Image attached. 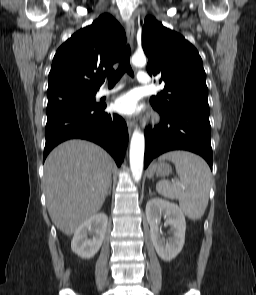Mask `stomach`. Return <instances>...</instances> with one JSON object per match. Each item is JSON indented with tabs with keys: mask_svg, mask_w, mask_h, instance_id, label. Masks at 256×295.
Wrapping results in <instances>:
<instances>
[{
	"mask_svg": "<svg viewBox=\"0 0 256 295\" xmlns=\"http://www.w3.org/2000/svg\"><path fill=\"white\" fill-rule=\"evenodd\" d=\"M154 171L160 176H168L172 172V168L165 162H159L154 165Z\"/></svg>",
	"mask_w": 256,
	"mask_h": 295,
	"instance_id": "1",
	"label": "stomach"
}]
</instances>
